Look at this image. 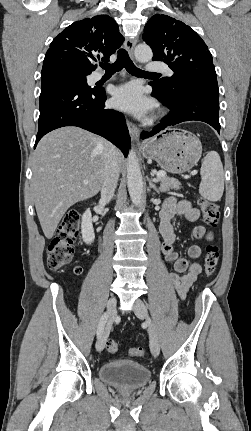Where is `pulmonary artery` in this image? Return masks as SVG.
<instances>
[{
	"label": "pulmonary artery",
	"instance_id": "1",
	"mask_svg": "<svg viewBox=\"0 0 251 431\" xmlns=\"http://www.w3.org/2000/svg\"><path fill=\"white\" fill-rule=\"evenodd\" d=\"M146 71H148V72H165L168 74L171 73V71L169 70L167 65H165L164 63H161V62H150V63H148L146 66Z\"/></svg>",
	"mask_w": 251,
	"mask_h": 431
}]
</instances>
